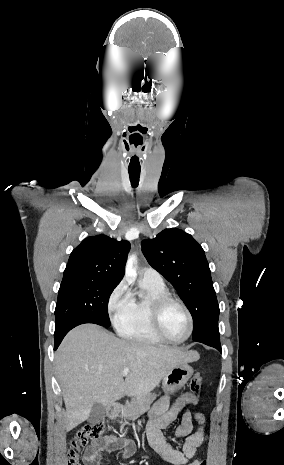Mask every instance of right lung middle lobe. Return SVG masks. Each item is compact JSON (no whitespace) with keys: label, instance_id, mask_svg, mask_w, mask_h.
Here are the masks:
<instances>
[{"label":"right lung middle lobe","instance_id":"obj_1","mask_svg":"<svg viewBox=\"0 0 284 465\" xmlns=\"http://www.w3.org/2000/svg\"><path fill=\"white\" fill-rule=\"evenodd\" d=\"M116 286L95 279H63L55 309V328L75 320H90L109 327L108 300Z\"/></svg>","mask_w":284,"mask_h":465}]
</instances>
